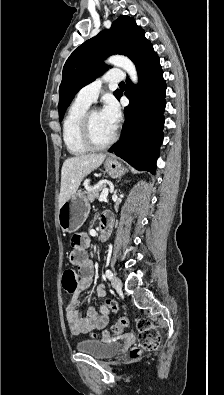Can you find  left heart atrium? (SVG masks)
Returning <instances> with one entry per match:
<instances>
[{
  "mask_svg": "<svg viewBox=\"0 0 224 395\" xmlns=\"http://www.w3.org/2000/svg\"><path fill=\"white\" fill-rule=\"evenodd\" d=\"M100 113L113 129L117 128V125L120 121L121 112L119 105L114 98L107 97L105 99Z\"/></svg>",
  "mask_w": 224,
  "mask_h": 395,
  "instance_id": "1",
  "label": "left heart atrium"
}]
</instances>
